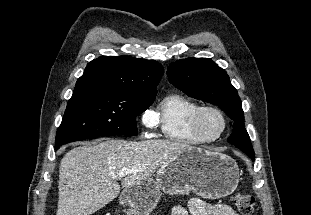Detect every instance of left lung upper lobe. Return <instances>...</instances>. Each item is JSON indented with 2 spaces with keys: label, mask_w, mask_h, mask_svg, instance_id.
Listing matches in <instances>:
<instances>
[{
  "label": "left lung upper lobe",
  "mask_w": 311,
  "mask_h": 215,
  "mask_svg": "<svg viewBox=\"0 0 311 215\" xmlns=\"http://www.w3.org/2000/svg\"><path fill=\"white\" fill-rule=\"evenodd\" d=\"M167 75L170 83L188 96L223 109L234 120L233 132L227 141L254 160L255 153L244 125L241 100L224 69L211 59L187 58L170 64Z\"/></svg>",
  "instance_id": "5c2ea615"
}]
</instances>
